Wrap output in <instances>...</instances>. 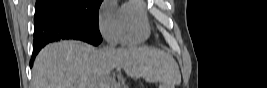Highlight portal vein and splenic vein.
Here are the masks:
<instances>
[{"instance_id":"obj_1","label":"portal vein and splenic vein","mask_w":267,"mask_h":88,"mask_svg":"<svg viewBox=\"0 0 267 88\" xmlns=\"http://www.w3.org/2000/svg\"><path fill=\"white\" fill-rule=\"evenodd\" d=\"M105 88H108V86H102ZM111 88H119V86L115 83V81L112 83Z\"/></svg>"}]
</instances>
